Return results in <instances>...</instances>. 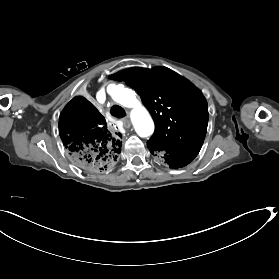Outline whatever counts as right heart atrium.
Wrapping results in <instances>:
<instances>
[{
	"mask_svg": "<svg viewBox=\"0 0 279 279\" xmlns=\"http://www.w3.org/2000/svg\"><path fill=\"white\" fill-rule=\"evenodd\" d=\"M132 115L134 117H137V116H143L144 115V111L143 109L139 108V109H136L132 112Z\"/></svg>",
	"mask_w": 279,
	"mask_h": 279,
	"instance_id": "d8ad5b80",
	"label": "right heart atrium"
}]
</instances>
